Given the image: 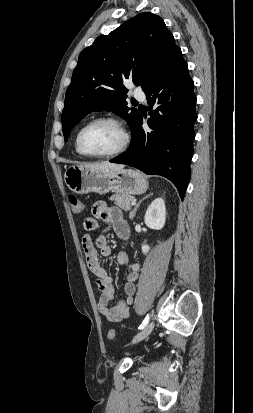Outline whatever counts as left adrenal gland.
I'll list each match as a JSON object with an SVG mask.
<instances>
[{"mask_svg":"<svg viewBox=\"0 0 253 413\" xmlns=\"http://www.w3.org/2000/svg\"><path fill=\"white\" fill-rule=\"evenodd\" d=\"M152 195H153V193H150L149 195L145 196L144 198H142V199L137 203V205L135 206V208L133 209V211L130 212V218H131V219L134 218V216H135V214H136V211H137L138 207L140 206V204H141L146 198H149V197L152 196Z\"/></svg>","mask_w":253,"mask_h":413,"instance_id":"a2214340","label":"left adrenal gland"}]
</instances>
